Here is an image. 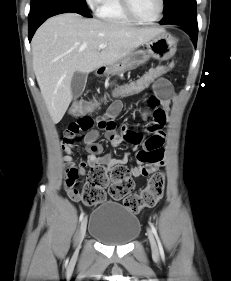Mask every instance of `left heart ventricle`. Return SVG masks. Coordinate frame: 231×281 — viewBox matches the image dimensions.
Returning <instances> with one entry per match:
<instances>
[{"label": "left heart ventricle", "mask_w": 231, "mask_h": 281, "mask_svg": "<svg viewBox=\"0 0 231 281\" xmlns=\"http://www.w3.org/2000/svg\"><path fill=\"white\" fill-rule=\"evenodd\" d=\"M135 13L142 19L150 20L157 16L159 0H131Z\"/></svg>", "instance_id": "left-heart-ventricle-1"}]
</instances>
